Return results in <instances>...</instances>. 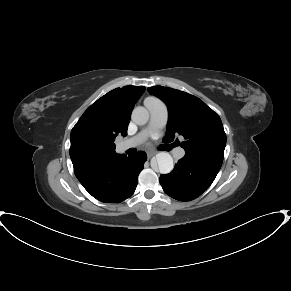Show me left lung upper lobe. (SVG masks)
<instances>
[{"label":"left lung upper lobe","instance_id":"left-lung-upper-lobe-1","mask_svg":"<svg viewBox=\"0 0 291 291\" xmlns=\"http://www.w3.org/2000/svg\"><path fill=\"white\" fill-rule=\"evenodd\" d=\"M148 91L168 107L165 143L172 142L178 133L185 139L181 143L185 155L222 164L226 134L216 112L199 98L183 91L163 86H153Z\"/></svg>","mask_w":291,"mask_h":291}]
</instances>
